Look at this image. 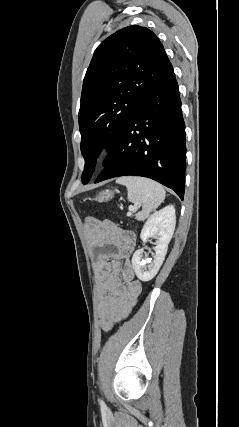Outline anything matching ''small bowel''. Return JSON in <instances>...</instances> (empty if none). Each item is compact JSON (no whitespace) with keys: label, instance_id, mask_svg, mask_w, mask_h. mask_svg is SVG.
<instances>
[{"label":"small bowel","instance_id":"1","mask_svg":"<svg viewBox=\"0 0 239 427\" xmlns=\"http://www.w3.org/2000/svg\"><path fill=\"white\" fill-rule=\"evenodd\" d=\"M87 225L92 228L100 322L103 330L109 331L128 316L142 291L130 260L136 237L132 231L121 229L110 220L89 219Z\"/></svg>","mask_w":239,"mask_h":427}]
</instances>
